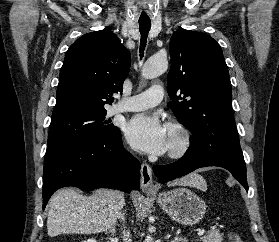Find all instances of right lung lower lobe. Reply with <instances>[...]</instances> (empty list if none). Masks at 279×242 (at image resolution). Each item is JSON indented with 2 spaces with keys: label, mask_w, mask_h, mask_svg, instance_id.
<instances>
[{
  "label": "right lung lower lobe",
  "mask_w": 279,
  "mask_h": 242,
  "mask_svg": "<svg viewBox=\"0 0 279 242\" xmlns=\"http://www.w3.org/2000/svg\"><path fill=\"white\" fill-rule=\"evenodd\" d=\"M67 186L114 188L129 193L140 188V163L124 149L120 132L46 152L43 209L56 190Z\"/></svg>",
  "instance_id": "98d812e1"
}]
</instances>
